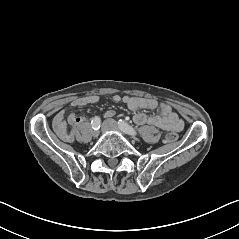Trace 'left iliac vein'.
<instances>
[{"label":"left iliac vein","instance_id":"obj_1","mask_svg":"<svg viewBox=\"0 0 239 239\" xmlns=\"http://www.w3.org/2000/svg\"><path fill=\"white\" fill-rule=\"evenodd\" d=\"M105 122L109 124V129L110 130H114V131H119L120 130V127H119V125L117 124V122L115 120L108 119Z\"/></svg>","mask_w":239,"mask_h":239}]
</instances>
